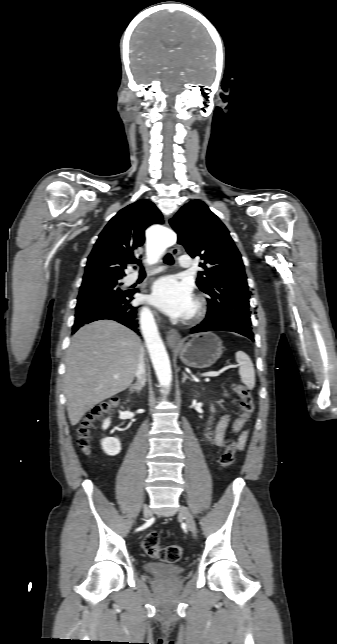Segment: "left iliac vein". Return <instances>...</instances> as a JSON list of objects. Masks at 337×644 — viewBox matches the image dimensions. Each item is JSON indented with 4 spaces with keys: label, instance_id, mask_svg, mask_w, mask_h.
Wrapping results in <instances>:
<instances>
[{
    "label": "left iliac vein",
    "instance_id": "obj_1",
    "mask_svg": "<svg viewBox=\"0 0 337 644\" xmlns=\"http://www.w3.org/2000/svg\"><path fill=\"white\" fill-rule=\"evenodd\" d=\"M180 515L185 519L188 529L193 534H195L196 525H195L194 519H193L190 511L188 510V508H186L185 506H181L180 507Z\"/></svg>",
    "mask_w": 337,
    "mask_h": 644
}]
</instances>
